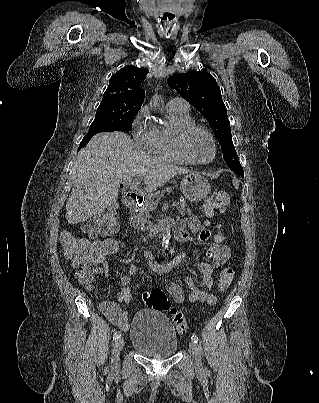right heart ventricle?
Wrapping results in <instances>:
<instances>
[{"mask_svg": "<svg viewBox=\"0 0 319 403\" xmlns=\"http://www.w3.org/2000/svg\"><path fill=\"white\" fill-rule=\"evenodd\" d=\"M167 119V125L155 127L152 153L156 158L167 162L188 164L176 148V134L182 126L193 122L190 113L188 110L167 106Z\"/></svg>", "mask_w": 319, "mask_h": 403, "instance_id": "e07e8e85", "label": "right heart ventricle"}]
</instances>
